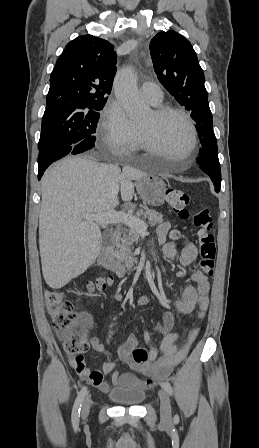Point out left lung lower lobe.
I'll use <instances>...</instances> for the list:
<instances>
[{
  "label": "left lung lower lobe",
  "instance_id": "0a47b994",
  "mask_svg": "<svg viewBox=\"0 0 259 448\" xmlns=\"http://www.w3.org/2000/svg\"><path fill=\"white\" fill-rule=\"evenodd\" d=\"M197 163L211 178L215 190L218 192L221 186V169L218 159L217 143L200 148Z\"/></svg>",
  "mask_w": 259,
  "mask_h": 448
}]
</instances>
